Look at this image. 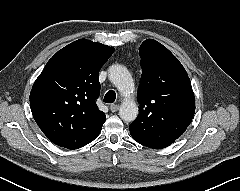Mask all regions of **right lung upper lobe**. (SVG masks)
<instances>
[{"instance_id":"obj_1","label":"right lung upper lobe","mask_w":240,"mask_h":191,"mask_svg":"<svg viewBox=\"0 0 240 191\" xmlns=\"http://www.w3.org/2000/svg\"><path fill=\"white\" fill-rule=\"evenodd\" d=\"M113 52V47L77 40L54 54L36 79L31 112L56 145L83 143L101 131L106 116L96 105L99 71Z\"/></svg>"}]
</instances>
